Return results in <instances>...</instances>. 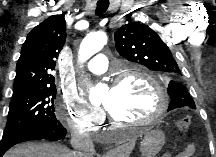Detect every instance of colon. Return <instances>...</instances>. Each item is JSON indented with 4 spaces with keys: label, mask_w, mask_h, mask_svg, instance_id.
I'll return each mask as SVG.
<instances>
[{
    "label": "colon",
    "mask_w": 216,
    "mask_h": 157,
    "mask_svg": "<svg viewBox=\"0 0 216 157\" xmlns=\"http://www.w3.org/2000/svg\"><path fill=\"white\" fill-rule=\"evenodd\" d=\"M190 124L191 117L189 115L182 116L176 121V127L181 132H186L190 127Z\"/></svg>",
    "instance_id": "colon-1"
}]
</instances>
